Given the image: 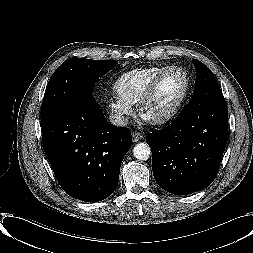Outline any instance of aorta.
I'll list each match as a JSON object with an SVG mask.
<instances>
[{
    "label": "aorta",
    "instance_id": "aorta-1",
    "mask_svg": "<svg viewBox=\"0 0 253 253\" xmlns=\"http://www.w3.org/2000/svg\"><path fill=\"white\" fill-rule=\"evenodd\" d=\"M133 155L138 160H147L151 155V148L147 143H138L133 149Z\"/></svg>",
    "mask_w": 253,
    "mask_h": 253
}]
</instances>
